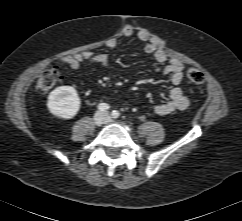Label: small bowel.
<instances>
[{
	"instance_id": "small-bowel-1",
	"label": "small bowel",
	"mask_w": 242,
	"mask_h": 221,
	"mask_svg": "<svg viewBox=\"0 0 242 221\" xmlns=\"http://www.w3.org/2000/svg\"><path fill=\"white\" fill-rule=\"evenodd\" d=\"M123 34L125 36L136 35L139 40L145 42V52L152 55L158 63L165 64L162 74L169 76L171 82L175 85L170 90L169 99L166 102L156 104L154 106V112L158 115H168L175 111L188 108L190 101L188 97L185 96L182 89L178 87L183 80L185 70L184 63L176 58L168 57L165 51L151 40L150 35L146 31L127 27L124 29ZM116 46L117 42L115 39H108L103 51H83L73 55H67L62 57L60 62L71 69H77L85 63H98L102 67H106L110 63V52L114 50Z\"/></svg>"
}]
</instances>
